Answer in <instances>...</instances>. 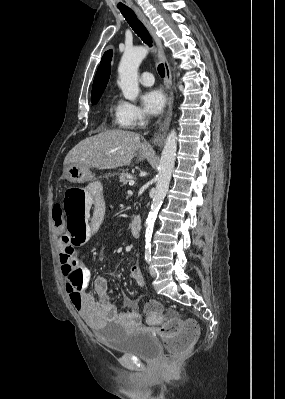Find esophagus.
Masks as SVG:
<instances>
[{
	"label": "esophagus",
	"mask_w": 285,
	"mask_h": 399,
	"mask_svg": "<svg viewBox=\"0 0 285 399\" xmlns=\"http://www.w3.org/2000/svg\"><path fill=\"white\" fill-rule=\"evenodd\" d=\"M139 19L141 22L144 24V26L147 28V30L150 32L151 36L153 37L157 48H158V56L161 62L164 65L165 68V84L167 89L169 90L172 85V76H171V70L169 63L167 61L164 48L161 42L160 37L158 36L155 28L152 26V24L149 22V20L146 18V16L141 12V10L138 7H134ZM172 103H173V97L168 96V112L165 118V126L166 128L169 127L170 121H171V115H172Z\"/></svg>",
	"instance_id": "34e87169"
}]
</instances>
